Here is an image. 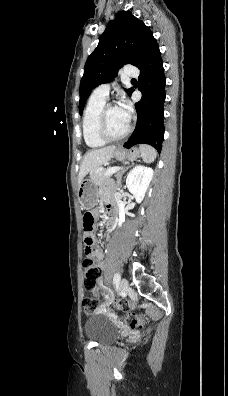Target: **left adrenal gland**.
<instances>
[{
  "instance_id": "obj_1",
  "label": "left adrenal gland",
  "mask_w": 228,
  "mask_h": 396,
  "mask_svg": "<svg viewBox=\"0 0 228 396\" xmlns=\"http://www.w3.org/2000/svg\"><path fill=\"white\" fill-rule=\"evenodd\" d=\"M132 166H134V163H133L132 165H130V166H128V167H126V168H124V169H122L121 171H119V172L116 173L115 177H116V179H117V186H118V187H121V186H122L121 180H122L123 174H124L130 167H132Z\"/></svg>"
}]
</instances>
